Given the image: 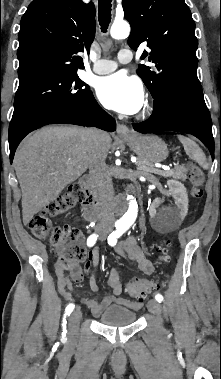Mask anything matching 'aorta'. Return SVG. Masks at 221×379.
I'll use <instances>...</instances> for the list:
<instances>
[{"label": "aorta", "instance_id": "obj_1", "mask_svg": "<svg viewBox=\"0 0 221 379\" xmlns=\"http://www.w3.org/2000/svg\"><path fill=\"white\" fill-rule=\"evenodd\" d=\"M110 34L114 39L126 38L130 34V26L126 22L113 23ZM127 200H129L128 210L120 219L121 226L126 228L134 223L138 214V205L133 197L128 195Z\"/></svg>", "mask_w": 221, "mask_h": 379}]
</instances>
